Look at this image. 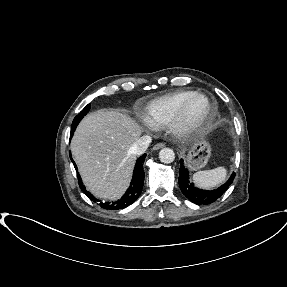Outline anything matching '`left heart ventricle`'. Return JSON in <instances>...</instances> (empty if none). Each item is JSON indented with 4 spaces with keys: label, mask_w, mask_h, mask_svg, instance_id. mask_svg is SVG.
<instances>
[{
    "label": "left heart ventricle",
    "mask_w": 287,
    "mask_h": 287,
    "mask_svg": "<svg viewBox=\"0 0 287 287\" xmlns=\"http://www.w3.org/2000/svg\"><path fill=\"white\" fill-rule=\"evenodd\" d=\"M206 102L204 100H195L190 108L189 116L191 119L199 118L206 109Z\"/></svg>",
    "instance_id": "left-heart-ventricle-1"
}]
</instances>
